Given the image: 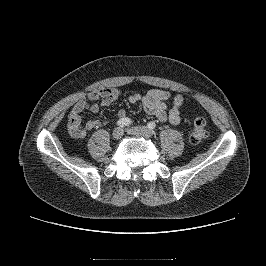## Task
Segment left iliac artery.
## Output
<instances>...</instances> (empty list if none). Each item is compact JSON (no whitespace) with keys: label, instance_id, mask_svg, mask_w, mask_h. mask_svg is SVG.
<instances>
[{"label":"left iliac artery","instance_id":"left-iliac-artery-1","mask_svg":"<svg viewBox=\"0 0 266 266\" xmlns=\"http://www.w3.org/2000/svg\"><path fill=\"white\" fill-rule=\"evenodd\" d=\"M147 127L150 129V130H153V129H155V127H156V124H155V122H149L148 124H147Z\"/></svg>","mask_w":266,"mask_h":266}]
</instances>
